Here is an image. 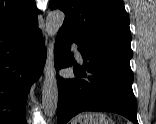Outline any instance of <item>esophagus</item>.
Returning a JSON list of instances; mask_svg holds the SVG:
<instances>
[{
  "label": "esophagus",
  "mask_w": 156,
  "mask_h": 124,
  "mask_svg": "<svg viewBox=\"0 0 156 124\" xmlns=\"http://www.w3.org/2000/svg\"><path fill=\"white\" fill-rule=\"evenodd\" d=\"M52 56H53V43L50 41L48 44V55H47V61L44 68V74L47 76L51 69H52Z\"/></svg>",
  "instance_id": "1"
}]
</instances>
